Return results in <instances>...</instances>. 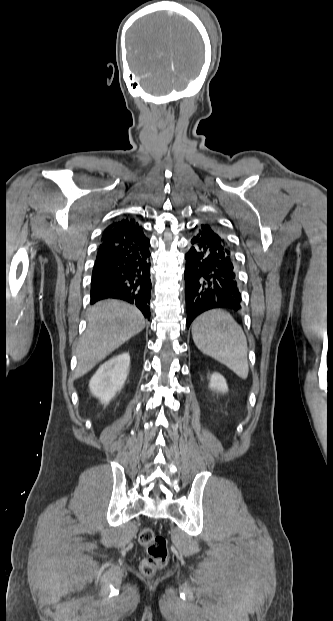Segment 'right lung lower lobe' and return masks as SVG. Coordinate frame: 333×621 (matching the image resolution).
I'll list each match as a JSON object with an SVG mask.
<instances>
[{"instance_id":"right-lung-lower-lobe-1","label":"right lung lower lobe","mask_w":333,"mask_h":621,"mask_svg":"<svg viewBox=\"0 0 333 621\" xmlns=\"http://www.w3.org/2000/svg\"><path fill=\"white\" fill-rule=\"evenodd\" d=\"M149 246L101 243L92 272L91 304L107 298L121 299L136 305L150 319Z\"/></svg>"}]
</instances>
